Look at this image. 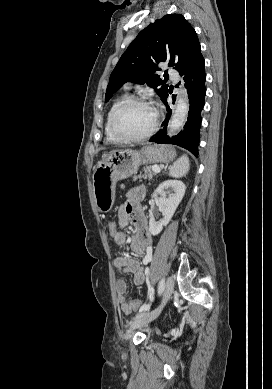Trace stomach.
<instances>
[{"label":"stomach","mask_w":272,"mask_h":389,"mask_svg":"<svg viewBox=\"0 0 272 389\" xmlns=\"http://www.w3.org/2000/svg\"><path fill=\"white\" fill-rule=\"evenodd\" d=\"M176 151L169 145H145L140 150H118L100 162L93 173V194L99 212H109L115 201V188L119 180L138 171L142 163L172 161Z\"/></svg>","instance_id":"0dacf381"}]
</instances>
